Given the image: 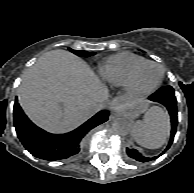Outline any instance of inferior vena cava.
<instances>
[{"instance_id":"602c4592","label":"inferior vena cava","mask_w":194,"mask_h":193,"mask_svg":"<svg viewBox=\"0 0 194 193\" xmlns=\"http://www.w3.org/2000/svg\"><path fill=\"white\" fill-rule=\"evenodd\" d=\"M99 108H100V104L97 103V102H92V103L90 104V109H91L92 111H97Z\"/></svg>"}]
</instances>
